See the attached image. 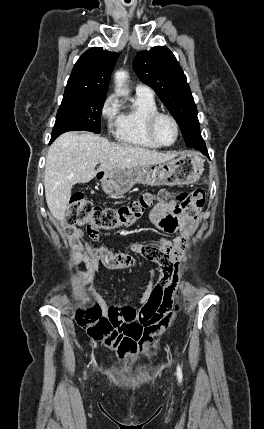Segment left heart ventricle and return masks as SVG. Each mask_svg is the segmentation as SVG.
Wrapping results in <instances>:
<instances>
[{
	"mask_svg": "<svg viewBox=\"0 0 264 429\" xmlns=\"http://www.w3.org/2000/svg\"><path fill=\"white\" fill-rule=\"evenodd\" d=\"M157 138L165 144L171 143L175 138V128L173 123L167 118H160L155 126Z\"/></svg>",
	"mask_w": 264,
	"mask_h": 429,
	"instance_id": "obj_1",
	"label": "left heart ventricle"
}]
</instances>
